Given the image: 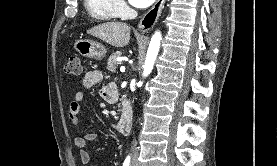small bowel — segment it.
Instances as JSON below:
<instances>
[{
    "label": "small bowel",
    "instance_id": "obj_1",
    "mask_svg": "<svg viewBox=\"0 0 277 166\" xmlns=\"http://www.w3.org/2000/svg\"><path fill=\"white\" fill-rule=\"evenodd\" d=\"M103 78V75L98 70H92L85 74L83 78V86L85 89H92L95 87ZM85 92L79 91L75 94L74 99L70 103L68 116L73 127L79 126V112L81 104L84 99ZM101 98L107 103H114L117 98V88L114 84H108L100 90ZM98 132H88L82 136H78L74 139V146L78 151V155L82 164L87 165L90 162V155L86 149L88 141H94L98 138Z\"/></svg>",
    "mask_w": 277,
    "mask_h": 166
}]
</instances>
